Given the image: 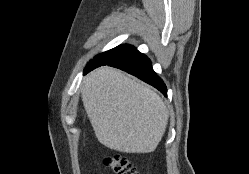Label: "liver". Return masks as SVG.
<instances>
[{"label": "liver", "instance_id": "obj_1", "mask_svg": "<svg viewBox=\"0 0 249 174\" xmlns=\"http://www.w3.org/2000/svg\"><path fill=\"white\" fill-rule=\"evenodd\" d=\"M81 96L101 144L123 153H150L157 148L168 110L150 87L104 66L84 79Z\"/></svg>", "mask_w": 249, "mask_h": 174}]
</instances>
